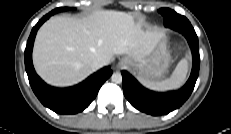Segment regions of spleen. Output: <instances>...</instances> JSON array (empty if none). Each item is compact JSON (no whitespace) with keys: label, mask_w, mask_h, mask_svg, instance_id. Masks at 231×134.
Segmentation results:
<instances>
[{"label":"spleen","mask_w":231,"mask_h":134,"mask_svg":"<svg viewBox=\"0 0 231 134\" xmlns=\"http://www.w3.org/2000/svg\"><path fill=\"white\" fill-rule=\"evenodd\" d=\"M190 57L187 56L179 61L170 78L162 81H142V84L149 89L166 91L179 88L186 80Z\"/></svg>","instance_id":"3e777b00"}]
</instances>
